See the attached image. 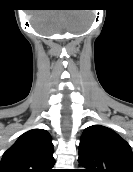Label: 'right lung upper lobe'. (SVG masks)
Listing matches in <instances>:
<instances>
[{"mask_svg":"<svg viewBox=\"0 0 133 172\" xmlns=\"http://www.w3.org/2000/svg\"><path fill=\"white\" fill-rule=\"evenodd\" d=\"M53 144L43 129L22 134L3 154L0 172H54Z\"/></svg>","mask_w":133,"mask_h":172,"instance_id":"obj_1","label":"right lung upper lobe"}]
</instances>
